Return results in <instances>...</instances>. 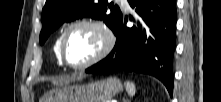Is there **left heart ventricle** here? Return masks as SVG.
I'll list each match as a JSON object with an SVG mask.
<instances>
[{
	"label": "left heart ventricle",
	"instance_id": "obj_1",
	"mask_svg": "<svg viewBox=\"0 0 221 102\" xmlns=\"http://www.w3.org/2000/svg\"><path fill=\"white\" fill-rule=\"evenodd\" d=\"M99 33L87 26L73 28L65 42V56L69 63L78 65L88 61L100 49Z\"/></svg>",
	"mask_w": 221,
	"mask_h": 102
}]
</instances>
